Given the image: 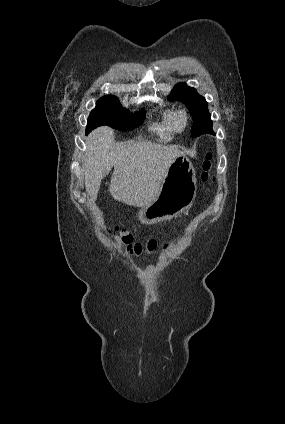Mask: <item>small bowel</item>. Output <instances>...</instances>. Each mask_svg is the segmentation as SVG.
Returning <instances> with one entry per match:
<instances>
[{
    "label": "small bowel",
    "mask_w": 285,
    "mask_h": 424,
    "mask_svg": "<svg viewBox=\"0 0 285 424\" xmlns=\"http://www.w3.org/2000/svg\"><path fill=\"white\" fill-rule=\"evenodd\" d=\"M153 266H147L145 268H143L141 271L142 272H152L153 271Z\"/></svg>",
    "instance_id": "1"
}]
</instances>
